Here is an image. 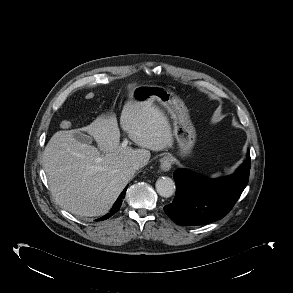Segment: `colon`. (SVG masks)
I'll return each mask as SVG.
<instances>
[{
  "label": "colon",
  "instance_id": "colon-1",
  "mask_svg": "<svg viewBox=\"0 0 293 293\" xmlns=\"http://www.w3.org/2000/svg\"><path fill=\"white\" fill-rule=\"evenodd\" d=\"M94 93L93 92H88L86 95H85V98L87 99V100H92V99H94ZM72 126V123L70 122V121H68V120H64V121H62L61 122V127L63 128V129H69L70 127Z\"/></svg>",
  "mask_w": 293,
  "mask_h": 293
}]
</instances>
